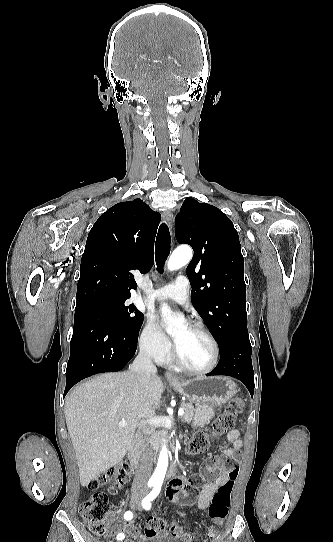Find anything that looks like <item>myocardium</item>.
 <instances>
[{
	"instance_id": "obj_1",
	"label": "myocardium",
	"mask_w": 333,
	"mask_h": 542,
	"mask_svg": "<svg viewBox=\"0 0 333 542\" xmlns=\"http://www.w3.org/2000/svg\"><path fill=\"white\" fill-rule=\"evenodd\" d=\"M191 330L200 333L204 337H206L213 348V359L210 365L203 369H195L188 365H186L177 355L175 352L173 345L170 344L168 355L170 360L182 371L193 374V375H204L212 372L216 366L218 365L219 359H220V346L214 335L207 330L205 327L199 325V324H192L188 326Z\"/></svg>"
}]
</instances>
